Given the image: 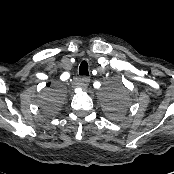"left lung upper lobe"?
<instances>
[{
    "mask_svg": "<svg viewBox=\"0 0 174 174\" xmlns=\"http://www.w3.org/2000/svg\"><path fill=\"white\" fill-rule=\"evenodd\" d=\"M119 111H120V110H119ZM119 111L116 112V113H114L113 116H114V117H117V116L119 115Z\"/></svg>",
    "mask_w": 174,
    "mask_h": 174,
    "instance_id": "1",
    "label": "left lung upper lobe"
}]
</instances>
